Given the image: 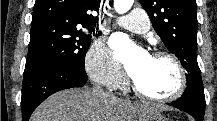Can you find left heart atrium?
Instances as JSON below:
<instances>
[{
	"label": "left heart atrium",
	"instance_id": "1",
	"mask_svg": "<svg viewBox=\"0 0 217 121\" xmlns=\"http://www.w3.org/2000/svg\"><path fill=\"white\" fill-rule=\"evenodd\" d=\"M111 45L117 58L124 63L128 74L132 77L137 75L142 65L150 57L147 52L136 48L121 34L113 36Z\"/></svg>",
	"mask_w": 217,
	"mask_h": 121
}]
</instances>
